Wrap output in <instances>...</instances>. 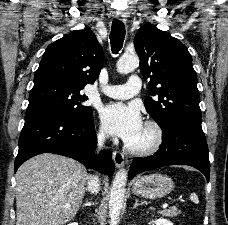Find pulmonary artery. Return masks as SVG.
<instances>
[{
    "mask_svg": "<svg viewBox=\"0 0 228 225\" xmlns=\"http://www.w3.org/2000/svg\"><path fill=\"white\" fill-rule=\"evenodd\" d=\"M136 79H138L137 76L130 78V80ZM129 84L130 85H107L102 89V92L111 98L128 99L134 94H139V90H142L141 81H130Z\"/></svg>",
    "mask_w": 228,
    "mask_h": 225,
    "instance_id": "obj_1",
    "label": "pulmonary artery"
}]
</instances>
